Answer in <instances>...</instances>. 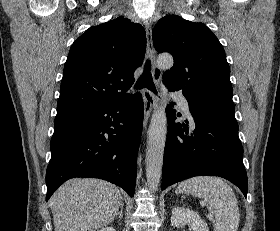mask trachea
Masks as SVG:
<instances>
[{
	"instance_id": "obj_1",
	"label": "trachea",
	"mask_w": 280,
	"mask_h": 231,
	"mask_svg": "<svg viewBox=\"0 0 280 231\" xmlns=\"http://www.w3.org/2000/svg\"><path fill=\"white\" fill-rule=\"evenodd\" d=\"M135 88H148V90L153 91V93L157 94L154 82L152 80V75L150 73V60L146 61L144 71L140 76L139 80L137 81Z\"/></svg>"
}]
</instances>
